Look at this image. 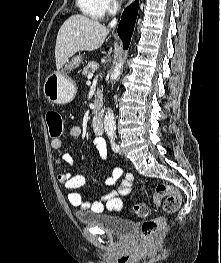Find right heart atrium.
<instances>
[{
  "label": "right heart atrium",
  "mask_w": 221,
  "mask_h": 263,
  "mask_svg": "<svg viewBox=\"0 0 221 263\" xmlns=\"http://www.w3.org/2000/svg\"><path fill=\"white\" fill-rule=\"evenodd\" d=\"M105 12L112 13L118 7L117 0H101Z\"/></svg>",
  "instance_id": "1"
}]
</instances>
